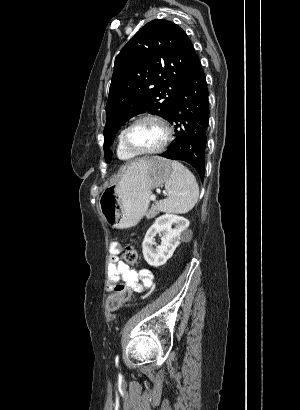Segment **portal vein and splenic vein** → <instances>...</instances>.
Returning a JSON list of instances; mask_svg holds the SVG:
<instances>
[{"instance_id":"1","label":"portal vein and splenic vein","mask_w":300,"mask_h":410,"mask_svg":"<svg viewBox=\"0 0 300 410\" xmlns=\"http://www.w3.org/2000/svg\"><path fill=\"white\" fill-rule=\"evenodd\" d=\"M150 199H151V200H155V199H156V196L153 194V195L150 196Z\"/></svg>"}]
</instances>
